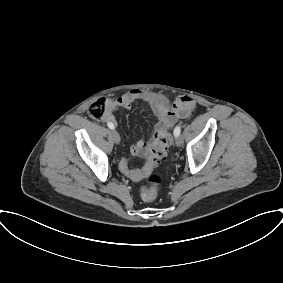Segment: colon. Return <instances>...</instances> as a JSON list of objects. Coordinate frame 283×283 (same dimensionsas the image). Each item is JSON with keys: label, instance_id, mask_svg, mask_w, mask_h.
Returning a JSON list of instances; mask_svg holds the SVG:
<instances>
[{"label": "colon", "instance_id": "5ec220e1", "mask_svg": "<svg viewBox=\"0 0 283 283\" xmlns=\"http://www.w3.org/2000/svg\"><path fill=\"white\" fill-rule=\"evenodd\" d=\"M178 111L184 112L186 104L178 105ZM107 113V104L103 99H98L88 107V114L95 120H102ZM173 122L169 121L163 125L155 134L154 141L150 146L148 162L150 165L158 164L166 155L171 144V127ZM159 193V179L155 176L146 179L140 187V196L144 201H154Z\"/></svg>", "mask_w": 283, "mask_h": 283}]
</instances>
